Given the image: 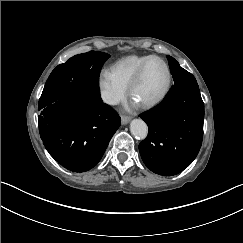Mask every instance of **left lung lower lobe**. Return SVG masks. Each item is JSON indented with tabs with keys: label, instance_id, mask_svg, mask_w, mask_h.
<instances>
[{
	"label": "left lung lower lobe",
	"instance_id": "obj_1",
	"mask_svg": "<svg viewBox=\"0 0 243 243\" xmlns=\"http://www.w3.org/2000/svg\"><path fill=\"white\" fill-rule=\"evenodd\" d=\"M149 133L139 144L151 171L172 176L196 158L203 139L204 103L198 86L174 87L155 108L140 115Z\"/></svg>",
	"mask_w": 243,
	"mask_h": 243
}]
</instances>
